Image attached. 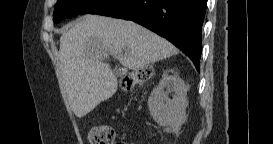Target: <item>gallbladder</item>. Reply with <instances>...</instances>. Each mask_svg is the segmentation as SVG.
<instances>
[{
  "label": "gallbladder",
  "instance_id": "1",
  "mask_svg": "<svg viewBox=\"0 0 273 144\" xmlns=\"http://www.w3.org/2000/svg\"><path fill=\"white\" fill-rule=\"evenodd\" d=\"M114 74L116 75V76H123L124 75V70H121L120 68H114Z\"/></svg>",
  "mask_w": 273,
  "mask_h": 144
}]
</instances>
